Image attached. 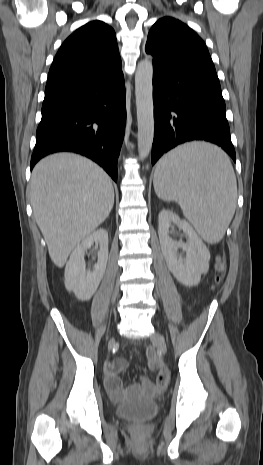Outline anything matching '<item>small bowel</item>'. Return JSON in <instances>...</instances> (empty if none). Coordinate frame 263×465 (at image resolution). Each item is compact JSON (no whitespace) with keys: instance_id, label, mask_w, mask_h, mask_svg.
<instances>
[{"instance_id":"small-bowel-1","label":"small bowel","mask_w":263,"mask_h":465,"mask_svg":"<svg viewBox=\"0 0 263 465\" xmlns=\"http://www.w3.org/2000/svg\"><path fill=\"white\" fill-rule=\"evenodd\" d=\"M127 366L126 361L122 359L109 362L105 366V385L114 399H122L130 394L147 393L154 394L162 391L167 382V373L164 370H160L155 382H152L148 378H144L141 385H133L125 388L122 384V380L119 377V373L124 370ZM153 368H156L155 364H152Z\"/></svg>"}]
</instances>
